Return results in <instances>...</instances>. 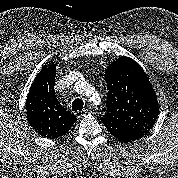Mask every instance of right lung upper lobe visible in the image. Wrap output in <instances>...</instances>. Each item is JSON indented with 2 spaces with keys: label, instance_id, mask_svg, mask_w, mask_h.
<instances>
[{
  "label": "right lung upper lobe",
  "instance_id": "cb5924a9",
  "mask_svg": "<svg viewBox=\"0 0 178 178\" xmlns=\"http://www.w3.org/2000/svg\"><path fill=\"white\" fill-rule=\"evenodd\" d=\"M55 76V64L45 65L37 74L26 100L30 126L40 136L52 139L66 134L77 121L56 98Z\"/></svg>",
  "mask_w": 178,
  "mask_h": 178
}]
</instances>
